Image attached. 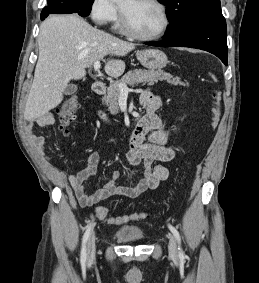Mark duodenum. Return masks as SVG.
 <instances>
[{
	"instance_id": "410a0bca",
	"label": "duodenum",
	"mask_w": 259,
	"mask_h": 283,
	"mask_svg": "<svg viewBox=\"0 0 259 283\" xmlns=\"http://www.w3.org/2000/svg\"><path fill=\"white\" fill-rule=\"evenodd\" d=\"M92 89L95 94L97 95H103L106 92V86L103 82L96 81L93 83ZM142 105H145V103H142ZM146 121V116L138 118L134 124H133V131H137L138 128L143 125Z\"/></svg>"
}]
</instances>
